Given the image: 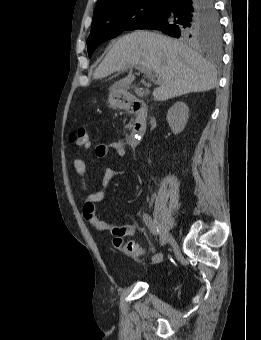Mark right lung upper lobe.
<instances>
[{
    "instance_id": "obj_1",
    "label": "right lung upper lobe",
    "mask_w": 261,
    "mask_h": 340,
    "mask_svg": "<svg viewBox=\"0 0 261 340\" xmlns=\"http://www.w3.org/2000/svg\"><path fill=\"white\" fill-rule=\"evenodd\" d=\"M139 1H147V0H98L97 5L94 9L93 20L95 21L96 19L101 17L104 13L112 9L126 6L131 3L139 2Z\"/></svg>"
}]
</instances>
